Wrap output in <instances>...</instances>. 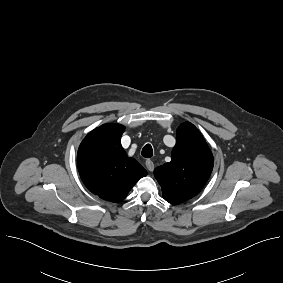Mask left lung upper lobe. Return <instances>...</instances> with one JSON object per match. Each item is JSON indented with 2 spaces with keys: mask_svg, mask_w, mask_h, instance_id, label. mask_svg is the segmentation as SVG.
<instances>
[{
  "mask_svg": "<svg viewBox=\"0 0 283 283\" xmlns=\"http://www.w3.org/2000/svg\"><path fill=\"white\" fill-rule=\"evenodd\" d=\"M213 163V155L200 131L189 122L181 124L171 161L154 170L163 198L177 204L194 197L206 184Z\"/></svg>",
  "mask_w": 283,
  "mask_h": 283,
  "instance_id": "5c2ea615",
  "label": "left lung upper lobe"
}]
</instances>
